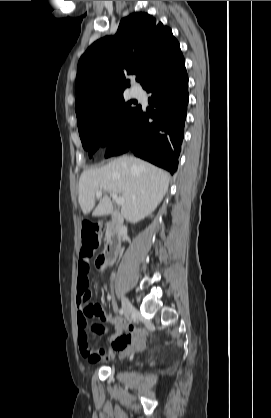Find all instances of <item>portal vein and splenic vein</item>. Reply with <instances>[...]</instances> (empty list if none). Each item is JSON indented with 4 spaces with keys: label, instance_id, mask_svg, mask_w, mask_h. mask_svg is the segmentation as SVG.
Here are the masks:
<instances>
[{
    "label": "portal vein and splenic vein",
    "instance_id": "portal-vein-and-splenic-vein-1",
    "mask_svg": "<svg viewBox=\"0 0 271 418\" xmlns=\"http://www.w3.org/2000/svg\"><path fill=\"white\" fill-rule=\"evenodd\" d=\"M96 196L97 197H101L102 196V191L98 190L96 191ZM112 199L115 201V203L117 205H123L124 204V198L123 197H119L116 193H111Z\"/></svg>",
    "mask_w": 271,
    "mask_h": 418
}]
</instances>
